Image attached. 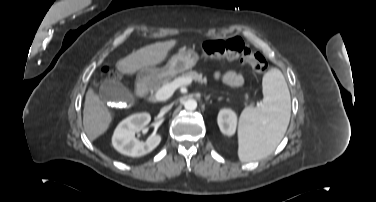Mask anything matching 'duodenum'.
I'll return each instance as SVG.
<instances>
[{
	"label": "duodenum",
	"instance_id": "duodenum-1",
	"mask_svg": "<svg viewBox=\"0 0 376 202\" xmlns=\"http://www.w3.org/2000/svg\"><path fill=\"white\" fill-rule=\"evenodd\" d=\"M149 90V83L147 79H140L136 86V94L138 97H144Z\"/></svg>",
	"mask_w": 376,
	"mask_h": 202
}]
</instances>
